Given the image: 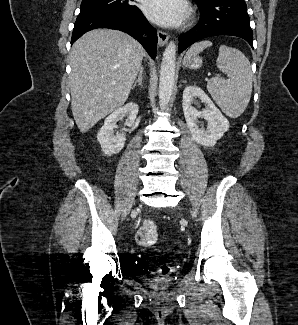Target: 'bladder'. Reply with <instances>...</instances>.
<instances>
[{
  "instance_id": "1",
  "label": "bladder",
  "mask_w": 298,
  "mask_h": 325,
  "mask_svg": "<svg viewBox=\"0 0 298 325\" xmlns=\"http://www.w3.org/2000/svg\"><path fill=\"white\" fill-rule=\"evenodd\" d=\"M174 276L173 275H166L156 280L148 281L150 287L155 290L161 291L165 290L170 284L173 282Z\"/></svg>"
}]
</instances>
